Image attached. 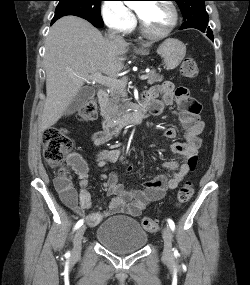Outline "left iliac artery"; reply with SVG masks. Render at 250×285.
<instances>
[{
	"label": "left iliac artery",
	"instance_id": "left-iliac-artery-1",
	"mask_svg": "<svg viewBox=\"0 0 250 285\" xmlns=\"http://www.w3.org/2000/svg\"><path fill=\"white\" fill-rule=\"evenodd\" d=\"M167 221H168V224H169L171 230L174 231L175 230V224H174L173 220L168 219Z\"/></svg>",
	"mask_w": 250,
	"mask_h": 285
}]
</instances>
